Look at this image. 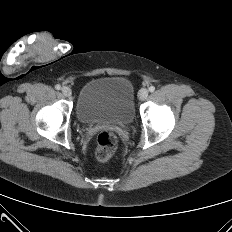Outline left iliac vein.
I'll return each instance as SVG.
<instances>
[{"label": "left iliac vein", "instance_id": "obj_1", "mask_svg": "<svg viewBox=\"0 0 232 232\" xmlns=\"http://www.w3.org/2000/svg\"><path fill=\"white\" fill-rule=\"evenodd\" d=\"M148 97V90L146 88H142L138 93L139 100L143 101Z\"/></svg>", "mask_w": 232, "mask_h": 232}]
</instances>
